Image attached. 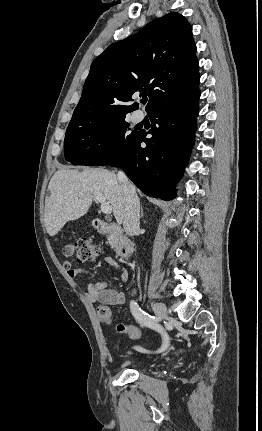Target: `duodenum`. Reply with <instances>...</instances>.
I'll use <instances>...</instances> for the list:
<instances>
[{
	"instance_id": "obj_1",
	"label": "duodenum",
	"mask_w": 262,
	"mask_h": 431,
	"mask_svg": "<svg viewBox=\"0 0 262 431\" xmlns=\"http://www.w3.org/2000/svg\"><path fill=\"white\" fill-rule=\"evenodd\" d=\"M98 231L102 234H110L115 243L116 252L124 258H128L133 253V244L125 236L120 224L108 223L98 219H93Z\"/></svg>"
}]
</instances>
